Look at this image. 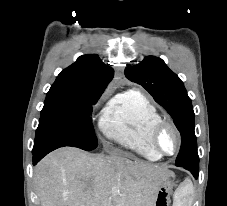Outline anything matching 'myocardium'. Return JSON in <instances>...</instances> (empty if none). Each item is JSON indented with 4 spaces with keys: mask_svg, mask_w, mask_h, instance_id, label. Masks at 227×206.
<instances>
[{
    "mask_svg": "<svg viewBox=\"0 0 227 206\" xmlns=\"http://www.w3.org/2000/svg\"><path fill=\"white\" fill-rule=\"evenodd\" d=\"M164 129H170L174 133L176 138V148L170 154L165 153L159 146V137ZM149 143L151 148L161 157H170L176 155L179 152L181 147V135L175 124L168 120L161 119L156 122L150 129Z\"/></svg>",
    "mask_w": 227,
    "mask_h": 206,
    "instance_id": "1",
    "label": "myocardium"
}]
</instances>
